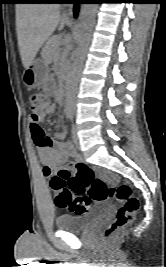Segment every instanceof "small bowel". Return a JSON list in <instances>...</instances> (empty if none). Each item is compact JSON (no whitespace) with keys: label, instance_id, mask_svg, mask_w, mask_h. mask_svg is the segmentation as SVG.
Wrapping results in <instances>:
<instances>
[{"label":"small bowel","instance_id":"1","mask_svg":"<svg viewBox=\"0 0 166 267\" xmlns=\"http://www.w3.org/2000/svg\"><path fill=\"white\" fill-rule=\"evenodd\" d=\"M48 91H53V86H47ZM54 107L46 109L44 112L37 116H31L30 130L33 141L38 148V157L45 165L43 174L45 177H50L53 172V167L66 163L69 159L74 158L75 162L79 161L76 157L72 147L62 140V135L57 138L47 137L44 133L43 141H38L36 131L42 130L40 124L43 122L46 115L52 114ZM44 132V131H43Z\"/></svg>","mask_w":166,"mask_h":267}]
</instances>
